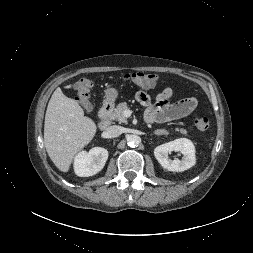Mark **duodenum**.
I'll list each match as a JSON object with an SVG mask.
<instances>
[{"mask_svg":"<svg viewBox=\"0 0 253 253\" xmlns=\"http://www.w3.org/2000/svg\"><path fill=\"white\" fill-rule=\"evenodd\" d=\"M112 105L110 103H104L99 110L97 125L100 129H106L111 123Z\"/></svg>","mask_w":253,"mask_h":253,"instance_id":"duodenum-1","label":"duodenum"}]
</instances>
